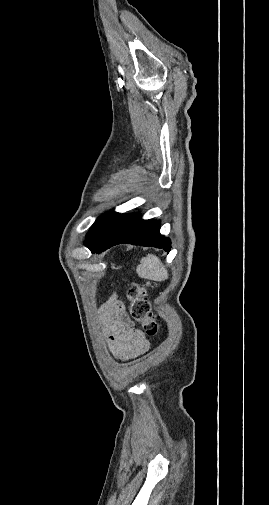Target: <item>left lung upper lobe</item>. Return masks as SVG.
Masks as SVG:
<instances>
[{
	"label": "left lung upper lobe",
	"mask_w": 269,
	"mask_h": 505,
	"mask_svg": "<svg viewBox=\"0 0 269 505\" xmlns=\"http://www.w3.org/2000/svg\"><path fill=\"white\" fill-rule=\"evenodd\" d=\"M119 215L120 213L107 212L100 216L95 221L87 235L85 242L86 246H92L101 241L109 229L112 227L116 219L119 217Z\"/></svg>",
	"instance_id": "5c2ea615"
}]
</instances>
